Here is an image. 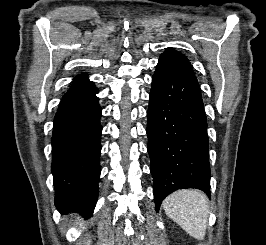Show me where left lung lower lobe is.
I'll return each mask as SVG.
<instances>
[{"label": "left lung lower lobe", "mask_w": 266, "mask_h": 245, "mask_svg": "<svg viewBox=\"0 0 266 245\" xmlns=\"http://www.w3.org/2000/svg\"><path fill=\"white\" fill-rule=\"evenodd\" d=\"M147 118L156 211L178 189L196 188L210 197L206 114L197 78L184 64L159 59Z\"/></svg>", "instance_id": "obj_1"}]
</instances>
